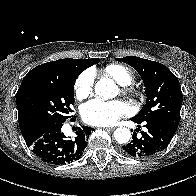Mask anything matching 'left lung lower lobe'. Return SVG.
<instances>
[{
    "label": "left lung lower lobe",
    "instance_id": "0a47b994",
    "mask_svg": "<svg viewBox=\"0 0 196 196\" xmlns=\"http://www.w3.org/2000/svg\"><path fill=\"white\" fill-rule=\"evenodd\" d=\"M131 120L137 124H144L147 130L142 131V136L139 137L137 136L139 129H136V132L133 133V140L123 146L121 152L129 157L147 158L161 152L168 146L176 132L159 120L139 121L135 118H131Z\"/></svg>",
    "mask_w": 196,
    "mask_h": 196
}]
</instances>
